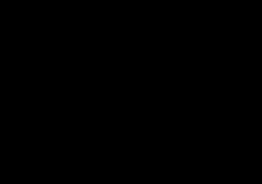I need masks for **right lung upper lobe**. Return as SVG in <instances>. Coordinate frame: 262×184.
Segmentation results:
<instances>
[{
    "label": "right lung upper lobe",
    "instance_id": "right-lung-upper-lobe-1",
    "mask_svg": "<svg viewBox=\"0 0 262 184\" xmlns=\"http://www.w3.org/2000/svg\"><path fill=\"white\" fill-rule=\"evenodd\" d=\"M113 29L114 26L103 21H88L79 26L75 32H87L100 38L103 35L113 31Z\"/></svg>",
    "mask_w": 262,
    "mask_h": 184
}]
</instances>
